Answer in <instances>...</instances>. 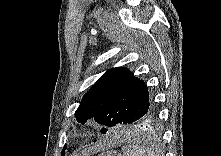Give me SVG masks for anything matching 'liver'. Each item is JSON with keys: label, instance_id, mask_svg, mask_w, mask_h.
<instances>
[{"label": "liver", "instance_id": "liver-1", "mask_svg": "<svg viewBox=\"0 0 221 156\" xmlns=\"http://www.w3.org/2000/svg\"><path fill=\"white\" fill-rule=\"evenodd\" d=\"M103 149L102 145H97V146H93L91 148L88 149V151L86 152L87 155L91 154L92 152H96V151H100Z\"/></svg>", "mask_w": 221, "mask_h": 156}]
</instances>
